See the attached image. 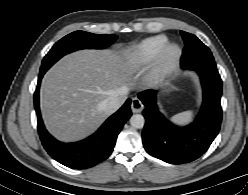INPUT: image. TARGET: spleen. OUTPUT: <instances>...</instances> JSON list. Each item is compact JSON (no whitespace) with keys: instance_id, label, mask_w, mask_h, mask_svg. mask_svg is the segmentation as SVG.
Wrapping results in <instances>:
<instances>
[{"instance_id":"spleen-1","label":"spleen","mask_w":248,"mask_h":195,"mask_svg":"<svg viewBox=\"0 0 248 195\" xmlns=\"http://www.w3.org/2000/svg\"><path fill=\"white\" fill-rule=\"evenodd\" d=\"M193 115H194L193 111H185L176 114L175 116L172 117L171 120L176 124L185 125L192 121Z\"/></svg>"}]
</instances>
